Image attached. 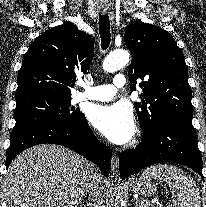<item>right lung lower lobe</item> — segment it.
Here are the masks:
<instances>
[{"instance_id": "1", "label": "right lung lower lobe", "mask_w": 206, "mask_h": 207, "mask_svg": "<svg viewBox=\"0 0 206 207\" xmlns=\"http://www.w3.org/2000/svg\"><path fill=\"white\" fill-rule=\"evenodd\" d=\"M45 143L65 146L98 165L105 176L109 175L111 151L95 137L86 118L74 124L40 123L12 132L6 155V168L20 152Z\"/></svg>"}]
</instances>
